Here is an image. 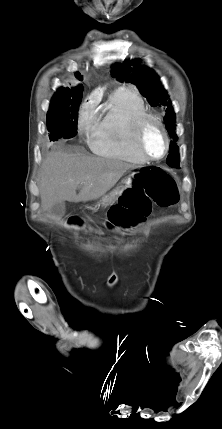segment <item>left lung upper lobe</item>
<instances>
[{"instance_id":"1","label":"left lung upper lobe","mask_w":222,"mask_h":429,"mask_svg":"<svg viewBox=\"0 0 222 429\" xmlns=\"http://www.w3.org/2000/svg\"><path fill=\"white\" fill-rule=\"evenodd\" d=\"M112 76L121 82H130L137 86L141 94L147 98L151 106H164L166 113L164 124L169 135L173 138L170 143L167 164L174 168H179V147L176 145L177 135L175 129V113L166 90L163 88L160 78L150 68L141 65V61L136 59L121 64L112 65Z\"/></svg>"}]
</instances>
